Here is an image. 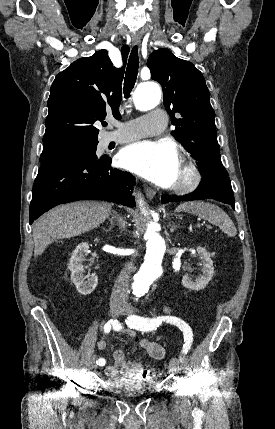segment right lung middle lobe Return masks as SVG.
<instances>
[{
  "mask_svg": "<svg viewBox=\"0 0 275 429\" xmlns=\"http://www.w3.org/2000/svg\"><path fill=\"white\" fill-rule=\"evenodd\" d=\"M97 144L98 143L84 144V145L67 149L56 155L41 157L40 158L41 166L62 163V162H70V161L87 162L90 160H95L97 159L96 157Z\"/></svg>",
  "mask_w": 275,
  "mask_h": 429,
  "instance_id": "right-lung-middle-lobe-1",
  "label": "right lung middle lobe"
}]
</instances>
